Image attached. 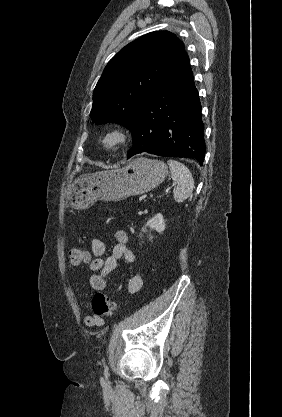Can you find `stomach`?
<instances>
[{"mask_svg": "<svg viewBox=\"0 0 282 417\" xmlns=\"http://www.w3.org/2000/svg\"><path fill=\"white\" fill-rule=\"evenodd\" d=\"M168 174L163 160L138 156L123 168L99 170L77 178L69 196L71 209H89L96 200H122L159 186Z\"/></svg>", "mask_w": 282, "mask_h": 417, "instance_id": "stomach-1", "label": "stomach"}]
</instances>
